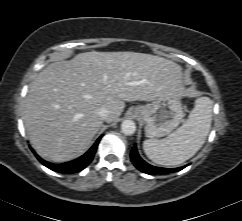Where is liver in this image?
Returning <instances> with one entry per match:
<instances>
[{"instance_id":"6515ba94","label":"liver","mask_w":242,"mask_h":221,"mask_svg":"<svg viewBox=\"0 0 242 221\" xmlns=\"http://www.w3.org/2000/svg\"><path fill=\"white\" fill-rule=\"evenodd\" d=\"M182 67L137 52H84L49 64L30 85L23 120L27 137L44 159L67 162L84 154L103 120L116 121L125 101L181 97Z\"/></svg>"}]
</instances>
